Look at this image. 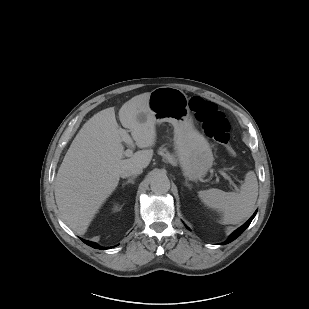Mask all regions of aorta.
<instances>
[{
  "mask_svg": "<svg viewBox=\"0 0 309 309\" xmlns=\"http://www.w3.org/2000/svg\"><path fill=\"white\" fill-rule=\"evenodd\" d=\"M150 188L156 194H165L170 189V181L164 175H156L151 180Z\"/></svg>",
  "mask_w": 309,
  "mask_h": 309,
  "instance_id": "obj_1",
  "label": "aorta"
}]
</instances>
